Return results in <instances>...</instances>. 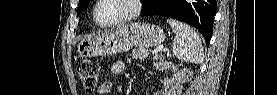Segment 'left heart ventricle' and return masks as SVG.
I'll use <instances>...</instances> for the list:
<instances>
[{
  "label": "left heart ventricle",
  "mask_w": 277,
  "mask_h": 95,
  "mask_svg": "<svg viewBox=\"0 0 277 95\" xmlns=\"http://www.w3.org/2000/svg\"><path fill=\"white\" fill-rule=\"evenodd\" d=\"M130 6L124 0H104L98 8V15L104 22L126 15Z\"/></svg>",
  "instance_id": "left-heart-ventricle-1"
}]
</instances>
